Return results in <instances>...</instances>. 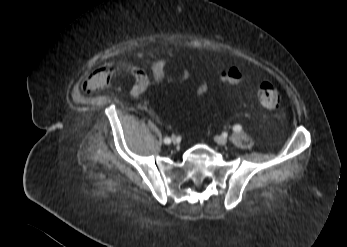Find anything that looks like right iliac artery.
I'll return each instance as SVG.
<instances>
[{"instance_id":"right-iliac-artery-1","label":"right iliac artery","mask_w":347,"mask_h":247,"mask_svg":"<svg viewBox=\"0 0 347 247\" xmlns=\"http://www.w3.org/2000/svg\"><path fill=\"white\" fill-rule=\"evenodd\" d=\"M170 142H171V139H170V138L166 137V138L164 139V143H165V144H170Z\"/></svg>"}]
</instances>
